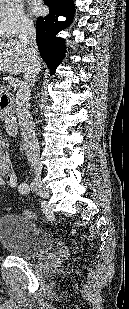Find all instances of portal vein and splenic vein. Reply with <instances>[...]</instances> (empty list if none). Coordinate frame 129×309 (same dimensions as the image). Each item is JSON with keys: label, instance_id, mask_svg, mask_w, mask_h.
Masks as SVG:
<instances>
[{"label": "portal vein and splenic vein", "instance_id": "portal-vein-and-splenic-vein-1", "mask_svg": "<svg viewBox=\"0 0 129 309\" xmlns=\"http://www.w3.org/2000/svg\"><path fill=\"white\" fill-rule=\"evenodd\" d=\"M9 83H10L11 86L17 87V86L19 85V79H16V78H14V77H11V78L9 79Z\"/></svg>", "mask_w": 129, "mask_h": 309}]
</instances>
